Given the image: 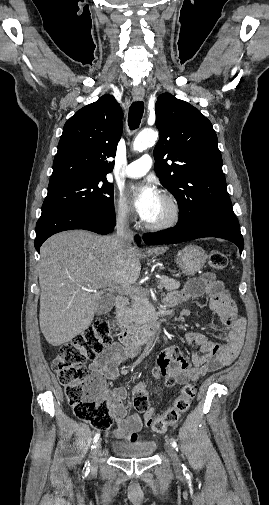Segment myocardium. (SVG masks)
Returning <instances> with one entry per match:
<instances>
[{
    "label": "myocardium",
    "instance_id": "myocardium-1",
    "mask_svg": "<svg viewBox=\"0 0 269 505\" xmlns=\"http://www.w3.org/2000/svg\"><path fill=\"white\" fill-rule=\"evenodd\" d=\"M161 197L170 205L171 215L166 220L157 223H150L145 221L144 226L148 230H167L176 226L181 219L182 210L178 200L168 192H162Z\"/></svg>",
    "mask_w": 269,
    "mask_h": 505
}]
</instances>
